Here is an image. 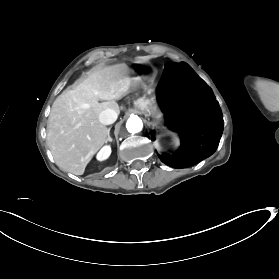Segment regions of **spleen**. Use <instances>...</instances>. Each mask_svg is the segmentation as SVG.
<instances>
[{
    "label": "spleen",
    "mask_w": 279,
    "mask_h": 279,
    "mask_svg": "<svg viewBox=\"0 0 279 279\" xmlns=\"http://www.w3.org/2000/svg\"><path fill=\"white\" fill-rule=\"evenodd\" d=\"M174 142H175V144H178V140L175 137H174Z\"/></svg>",
    "instance_id": "obj_1"
}]
</instances>
